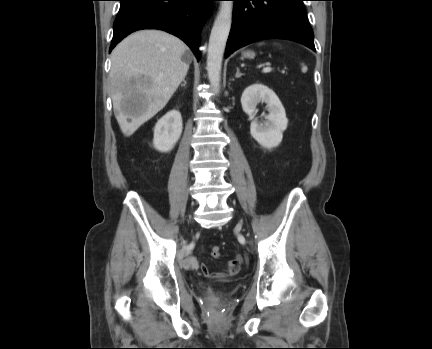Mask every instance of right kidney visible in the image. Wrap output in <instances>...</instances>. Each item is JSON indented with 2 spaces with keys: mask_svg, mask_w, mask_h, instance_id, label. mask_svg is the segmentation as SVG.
<instances>
[{
  "mask_svg": "<svg viewBox=\"0 0 432 349\" xmlns=\"http://www.w3.org/2000/svg\"><path fill=\"white\" fill-rule=\"evenodd\" d=\"M182 117L173 109L160 118L154 128L153 146L160 152L171 151L182 133Z\"/></svg>",
  "mask_w": 432,
  "mask_h": 349,
  "instance_id": "right-kidney-1",
  "label": "right kidney"
}]
</instances>
